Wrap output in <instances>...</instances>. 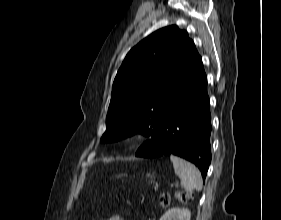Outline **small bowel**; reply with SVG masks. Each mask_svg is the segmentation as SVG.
I'll return each instance as SVG.
<instances>
[{
    "label": "small bowel",
    "instance_id": "small-bowel-1",
    "mask_svg": "<svg viewBox=\"0 0 281 220\" xmlns=\"http://www.w3.org/2000/svg\"><path fill=\"white\" fill-rule=\"evenodd\" d=\"M97 220H108V219H105V218H100V219H97Z\"/></svg>",
    "mask_w": 281,
    "mask_h": 220
}]
</instances>
